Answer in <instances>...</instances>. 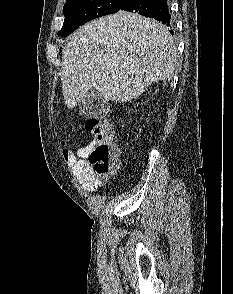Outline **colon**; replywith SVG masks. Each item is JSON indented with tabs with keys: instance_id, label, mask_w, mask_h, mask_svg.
<instances>
[{
	"instance_id": "colon-1",
	"label": "colon",
	"mask_w": 233,
	"mask_h": 294,
	"mask_svg": "<svg viewBox=\"0 0 233 294\" xmlns=\"http://www.w3.org/2000/svg\"><path fill=\"white\" fill-rule=\"evenodd\" d=\"M85 127L93 138L87 161L96 174L108 176L117 169L120 153L111 125L104 119L90 118L86 120Z\"/></svg>"
}]
</instances>
